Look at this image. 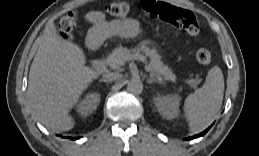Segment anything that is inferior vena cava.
Returning a JSON list of instances; mask_svg holds the SVG:
<instances>
[{"instance_id":"obj_1","label":"inferior vena cava","mask_w":259,"mask_h":156,"mask_svg":"<svg viewBox=\"0 0 259 156\" xmlns=\"http://www.w3.org/2000/svg\"><path fill=\"white\" fill-rule=\"evenodd\" d=\"M122 75L117 72H107L103 75V79L108 81H114L121 79Z\"/></svg>"}]
</instances>
